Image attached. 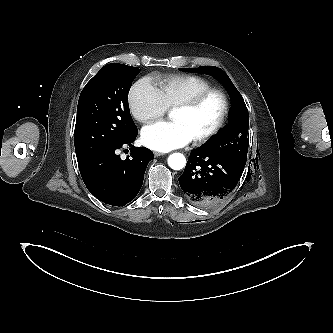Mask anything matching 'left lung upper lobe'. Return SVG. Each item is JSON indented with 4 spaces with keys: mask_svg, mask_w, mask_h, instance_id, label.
I'll list each match as a JSON object with an SVG mask.
<instances>
[{
    "mask_svg": "<svg viewBox=\"0 0 333 333\" xmlns=\"http://www.w3.org/2000/svg\"><path fill=\"white\" fill-rule=\"evenodd\" d=\"M180 70L211 75L225 86L231 98V108L228 116L229 126L226 129H222L219 135L204 147L218 155L231 159L239 166L245 167L249 145L247 139L249 118L248 110L241 94L235 88L228 75L220 68L200 66L196 69L180 68Z\"/></svg>",
    "mask_w": 333,
    "mask_h": 333,
    "instance_id": "obj_1",
    "label": "left lung upper lobe"
}]
</instances>
